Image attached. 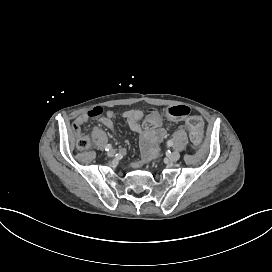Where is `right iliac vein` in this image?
Returning a JSON list of instances; mask_svg holds the SVG:
<instances>
[{"mask_svg": "<svg viewBox=\"0 0 272 272\" xmlns=\"http://www.w3.org/2000/svg\"><path fill=\"white\" fill-rule=\"evenodd\" d=\"M115 154H116V151H115L114 149H111V150H109V151L107 152V155H108L109 157H113Z\"/></svg>", "mask_w": 272, "mask_h": 272, "instance_id": "1", "label": "right iliac vein"}]
</instances>
